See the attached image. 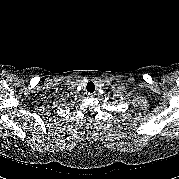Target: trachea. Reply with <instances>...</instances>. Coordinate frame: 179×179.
Here are the masks:
<instances>
[{
    "label": "trachea",
    "mask_w": 179,
    "mask_h": 179,
    "mask_svg": "<svg viewBox=\"0 0 179 179\" xmlns=\"http://www.w3.org/2000/svg\"><path fill=\"white\" fill-rule=\"evenodd\" d=\"M87 92L93 93L95 91V85L93 82H88L86 86Z\"/></svg>",
    "instance_id": "obj_1"
}]
</instances>
